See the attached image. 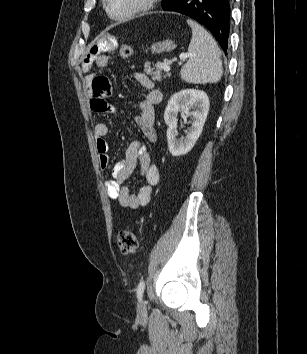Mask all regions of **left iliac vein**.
I'll return each mask as SVG.
<instances>
[{
    "label": "left iliac vein",
    "mask_w": 307,
    "mask_h": 354,
    "mask_svg": "<svg viewBox=\"0 0 307 354\" xmlns=\"http://www.w3.org/2000/svg\"><path fill=\"white\" fill-rule=\"evenodd\" d=\"M138 311L141 316L145 315L147 312L146 301L141 299L138 306Z\"/></svg>",
    "instance_id": "left-iliac-vein-1"
}]
</instances>
